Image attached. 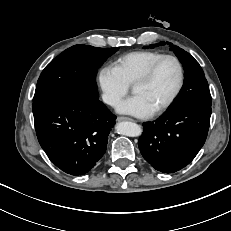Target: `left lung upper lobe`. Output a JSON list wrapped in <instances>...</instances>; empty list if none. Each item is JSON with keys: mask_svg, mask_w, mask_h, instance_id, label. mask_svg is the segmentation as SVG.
<instances>
[{"mask_svg": "<svg viewBox=\"0 0 231 231\" xmlns=\"http://www.w3.org/2000/svg\"><path fill=\"white\" fill-rule=\"evenodd\" d=\"M164 44L165 42H160L159 44H152L149 47L154 48ZM166 44H168V42H166ZM169 45L171 46V50L182 63L185 71L182 90L169 108L184 104H202L211 106L212 100L208 82L199 63L185 50L172 45V43H169Z\"/></svg>", "mask_w": 231, "mask_h": 231, "instance_id": "obj_1", "label": "left lung upper lobe"}]
</instances>
